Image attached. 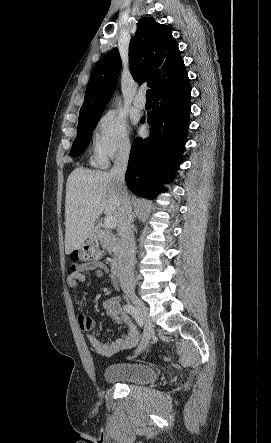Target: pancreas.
Instances as JSON below:
<instances>
[{
	"instance_id": "pancreas-1",
	"label": "pancreas",
	"mask_w": 271,
	"mask_h": 443,
	"mask_svg": "<svg viewBox=\"0 0 271 443\" xmlns=\"http://www.w3.org/2000/svg\"><path fill=\"white\" fill-rule=\"evenodd\" d=\"M98 239L102 243V247L107 249L109 253H116L117 241H115L114 237H111V235H98Z\"/></svg>"
}]
</instances>
